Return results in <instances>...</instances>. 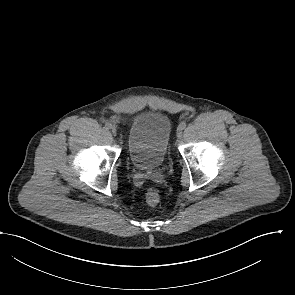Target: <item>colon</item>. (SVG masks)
<instances>
[{"label":"colon","mask_w":295,"mask_h":295,"mask_svg":"<svg viewBox=\"0 0 295 295\" xmlns=\"http://www.w3.org/2000/svg\"><path fill=\"white\" fill-rule=\"evenodd\" d=\"M159 193L155 189H149L146 193V202L154 206L159 202Z\"/></svg>","instance_id":"colon-1"}]
</instances>
